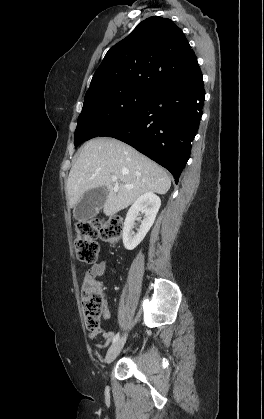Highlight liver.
I'll list each match as a JSON object with an SVG mask.
<instances>
[{"instance_id":"6515ba94","label":"liver","mask_w":264,"mask_h":419,"mask_svg":"<svg viewBox=\"0 0 264 419\" xmlns=\"http://www.w3.org/2000/svg\"><path fill=\"white\" fill-rule=\"evenodd\" d=\"M116 176L118 189L111 179ZM131 185L132 188H126ZM171 186L168 173L131 146L114 138H95L80 149L67 180L68 204L73 208L85 192L107 190L103 212L113 216L147 192L166 194Z\"/></svg>"}]
</instances>
